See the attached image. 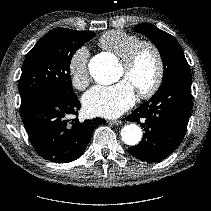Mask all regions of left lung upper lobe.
Returning a JSON list of instances; mask_svg holds the SVG:
<instances>
[{"label": "left lung upper lobe", "mask_w": 211, "mask_h": 211, "mask_svg": "<svg viewBox=\"0 0 211 211\" xmlns=\"http://www.w3.org/2000/svg\"><path fill=\"white\" fill-rule=\"evenodd\" d=\"M134 30L147 36L155 44L161 54L164 66L161 86L177 76L191 75L190 67L186 61L183 50L172 35L147 23L135 26Z\"/></svg>", "instance_id": "left-lung-upper-lobe-1"}]
</instances>
